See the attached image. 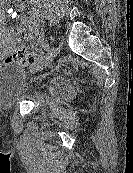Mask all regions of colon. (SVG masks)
Masks as SVG:
<instances>
[{"label": "colon", "mask_w": 133, "mask_h": 173, "mask_svg": "<svg viewBox=\"0 0 133 173\" xmlns=\"http://www.w3.org/2000/svg\"><path fill=\"white\" fill-rule=\"evenodd\" d=\"M32 61L33 59L31 55L25 50L21 39H14L8 43L7 49L5 50L4 60L6 64H29Z\"/></svg>", "instance_id": "colon-1"}]
</instances>
